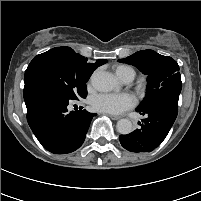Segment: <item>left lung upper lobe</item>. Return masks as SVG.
<instances>
[{
  "label": "left lung upper lobe",
  "instance_id": "obj_1",
  "mask_svg": "<svg viewBox=\"0 0 201 201\" xmlns=\"http://www.w3.org/2000/svg\"><path fill=\"white\" fill-rule=\"evenodd\" d=\"M120 62L132 64L148 75L146 96L137 109L146 108L161 99L178 101L182 82L179 66L174 59L153 50H142Z\"/></svg>",
  "mask_w": 201,
  "mask_h": 201
}]
</instances>
